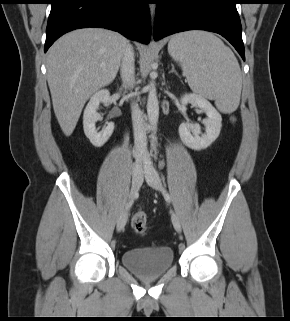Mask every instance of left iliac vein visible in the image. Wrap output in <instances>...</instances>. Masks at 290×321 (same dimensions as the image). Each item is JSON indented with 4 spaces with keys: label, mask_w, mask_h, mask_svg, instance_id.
I'll return each mask as SVG.
<instances>
[{
    "label": "left iliac vein",
    "mask_w": 290,
    "mask_h": 321,
    "mask_svg": "<svg viewBox=\"0 0 290 321\" xmlns=\"http://www.w3.org/2000/svg\"><path fill=\"white\" fill-rule=\"evenodd\" d=\"M145 178L147 183L152 188L158 191H162L161 179L156 170L151 165H149L146 170ZM171 220L175 230L181 232V221L179 216L174 211L171 212Z\"/></svg>",
    "instance_id": "obj_1"
}]
</instances>
